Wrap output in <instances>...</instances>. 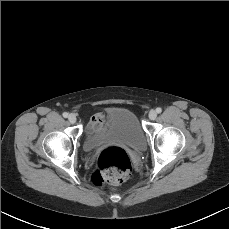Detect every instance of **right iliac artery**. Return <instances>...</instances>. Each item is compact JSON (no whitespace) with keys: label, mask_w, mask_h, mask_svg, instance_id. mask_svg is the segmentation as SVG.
I'll use <instances>...</instances> for the list:
<instances>
[{"label":"right iliac artery","mask_w":229,"mask_h":229,"mask_svg":"<svg viewBox=\"0 0 229 229\" xmlns=\"http://www.w3.org/2000/svg\"><path fill=\"white\" fill-rule=\"evenodd\" d=\"M63 117L67 118L68 117V113L67 112H64L63 113Z\"/></svg>","instance_id":"obj_1"}]
</instances>
